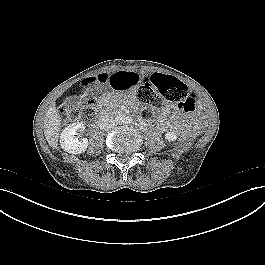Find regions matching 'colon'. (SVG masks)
<instances>
[{"mask_svg":"<svg viewBox=\"0 0 265 265\" xmlns=\"http://www.w3.org/2000/svg\"><path fill=\"white\" fill-rule=\"evenodd\" d=\"M113 77L109 80V84L114 87ZM148 80L151 86L143 85L136 93L140 103L139 112L144 119L149 121L155 119V110L161 108L165 101L177 104L178 108L185 112L196 109L197 97L179 79L155 70L149 74ZM90 83L91 80H85L83 85L87 86ZM58 113L61 118L90 121L95 116L94 101L87 100L79 108L74 109L61 105L58 107Z\"/></svg>","mask_w":265,"mask_h":265,"instance_id":"1","label":"colon"}]
</instances>
